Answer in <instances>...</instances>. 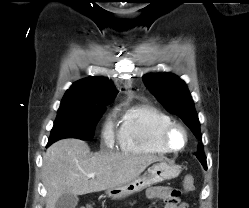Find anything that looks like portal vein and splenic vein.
<instances>
[{"label": "portal vein and splenic vein", "mask_w": 249, "mask_h": 208, "mask_svg": "<svg viewBox=\"0 0 249 208\" xmlns=\"http://www.w3.org/2000/svg\"><path fill=\"white\" fill-rule=\"evenodd\" d=\"M88 178H94L95 177V173H91L87 175Z\"/></svg>", "instance_id": "18ae733b"}]
</instances>
